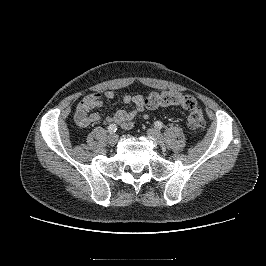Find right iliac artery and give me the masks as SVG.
Returning <instances> with one entry per match:
<instances>
[{
    "instance_id": "82829eb1",
    "label": "right iliac artery",
    "mask_w": 266,
    "mask_h": 266,
    "mask_svg": "<svg viewBox=\"0 0 266 266\" xmlns=\"http://www.w3.org/2000/svg\"><path fill=\"white\" fill-rule=\"evenodd\" d=\"M116 130H117V126H116V124H110V125L108 126V132H109L110 134L115 133Z\"/></svg>"
}]
</instances>
